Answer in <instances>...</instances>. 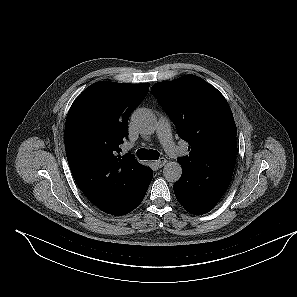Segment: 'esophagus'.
Here are the masks:
<instances>
[{"mask_svg":"<svg viewBox=\"0 0 297 297\" xmlns=\"http://www.w3.org/2000/svg\"><path fill=\"white\" fill-rule=\"evenodd\" d=\"M167 163V160L164 157L159 158L155 164L159 167L162 168L165 164Z\"/></svg>","mask_w":297,"mask_h":297,"instance_id":"34e87169","label":"esophagus"}]
</instances>
